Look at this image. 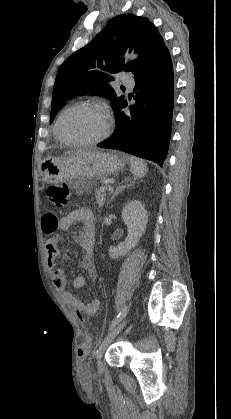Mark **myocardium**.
I'll return each mask as SVG.
<instances>
[{
    "instance_id": "obj_1",
    "label": "myocardium",
    "mask_w": 231,
    "mask_h": 419,
    "mask_svg": "<svg viewBox=\"0 0 231 419\" xmlns=\"http://www.w3.org/2000/svg\"><path fill=\"white\" fill-rule=\"evenodd\" d=\"M78 109H91V110H97L99 112H101L106 119V127L105 130L97 137L92 138V139H86V140H82V139H73L70 138L69 136H67L63 130H62V122L64 120V118L71 112L78 110ZM112 129V120H111V116L108 112V110L100 105V104H96V103H78L75 105H72L70 107H68L59 117L58 121H57V131L59 136L62 138V140H64L66 143L68 144H72V145H94V144H98L100 142H102L103 140H105Z\"/></svg>"
}]
</instances>
